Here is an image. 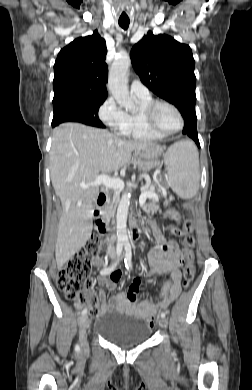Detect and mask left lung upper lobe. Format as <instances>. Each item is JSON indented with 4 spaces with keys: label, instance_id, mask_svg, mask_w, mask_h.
I'll return each mask as SVG.
<instances>
[{
    "label": "left lung upper lobe",
    "instance_id": "5c2ea615",
    "mask_svg": "<svg viewBox=\"0 0 252 390\" xmlns=\"http://www.w3.org/2000/svg\"><path fill=\"white\" fill-rule=\"evenodd\" d=\"M130 55L144 85L175 105L183 118L196 116L195 61L188 45L149 31L133 46Z\"/></svg>",
    "mask_w": 252,
    "mask_h": 390
}]
</instances>
